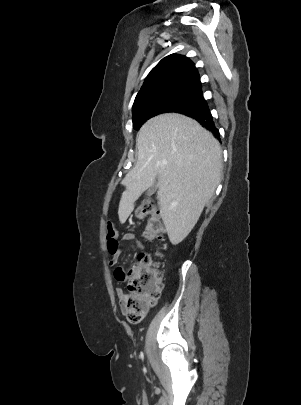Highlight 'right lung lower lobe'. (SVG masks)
Returning a JSON list of instances; mask_svg holds the SVG:
<instances>
[{
	"instance_id": "98d812e1",
	"label": "right lung lower lobe",
	"mask_w": 301,
	"mask_h": 405,
	"mask_svg": "<svg viewBox=\"0 0 301 405\" xmlns=\"http://www.w3.org/2000/svg\"><path fill=\"white\" fill-rule=\"evenodd\" d=\"M180 113L196 119L203 127L210 130L218 139H220L219 131L214 125L208 106L200 109L185 110Z\"/></svg>"
}]
</instances>
